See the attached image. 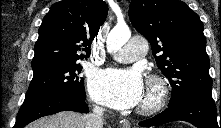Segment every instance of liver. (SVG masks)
Listing matches in <instances>:
<instances>
[{"instance_id":"liver-1","label":"liver","mask_w":221,"mask_h":128,"mask_svg":"<svg viewBox=\"0 0 221 128\" xmlns=\"http://www.w3.org/2000/svg\"><path fill=\"white\" fill-rule=\"evenodd\" d=\"M84 115L72 111H62L40 118L26 128H85Z\"/></svg>"}]
</instances>
